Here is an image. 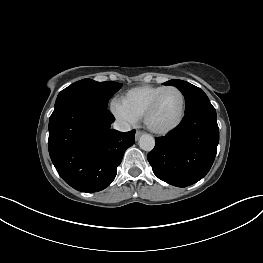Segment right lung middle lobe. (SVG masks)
Wrapping results in <instances>:
<instances>
[{"label": "right lung middle lobe", "mask_w": 263, "mask_h": 263, "mask_svg": "<svg viewBox=\"0 0 263 263\" xmlns=\"http://www.w3.org/2000/svg\"><path fill=\"white\" fill-rule=\"evenodd\" d=\"M121 86L122 84L113 81L97 82L92 79L77 81L59 93L54 111L70 103H84L107 108L108 100Z\"/></svg>", "instance_id": "obj_1"}]
</instances>
